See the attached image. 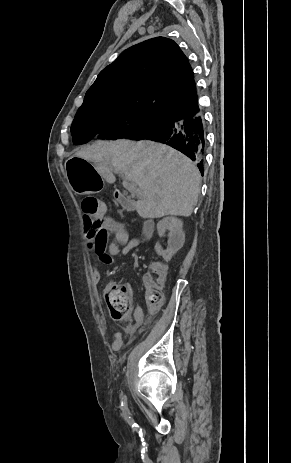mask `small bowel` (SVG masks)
<instances>
[{"instance_id": "1", "label": "small bowel", "mask_w": 291, "mask_h": 463, "mask_svg": "<svg viewBox=\"0 0 291 463\" xmlns=\"http://www.w3.org/2000/svg\"><path fill=\"white\" fill-rule=\"evenodd\" d=\"M112 235V240L108 242V237ZM85 240L87 246L91 248L98 256L99 260L104 264H112L117 258H120L140 245L138 239H130L124 226L111 217L103 216L100 219V227L97 229H86ZM93 279L96 283L100 282L101 276L99 271L95 270ZM144 283L148 284L150 277H143ZM126 287L131 289V285ZM133 318L135 326L143 324L145 320L144 311L141 307H136L133 310ZM122 346V335L117 333L112 342V349L117 351Z\"/></svg>"}]
</instances>
